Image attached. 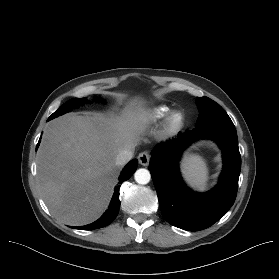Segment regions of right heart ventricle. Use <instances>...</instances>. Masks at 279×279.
Here are the masks:
<instances>
[{
  "label": "right heart ventricle",
  "mask_w": 279,
  "mask_h": 279,
  "mask_svg": "<svg viewBox=\"0 0 279 279\" xmlns=\"http://www.w3.org/2000/svg\"><path fill=\"white\" fill-rule=\"evenodd\" d=\"M169 109L167 107H160L154 111L156 117H164L169 113Z\"/></svg>",
  "instance_id": "obj_1"
}]
</instances>
